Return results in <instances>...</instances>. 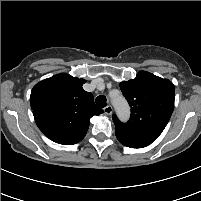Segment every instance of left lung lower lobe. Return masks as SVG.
<instances>
[{
	"mask_svg": "<svg viewBox=\"0 0 201 201\" xmlns=\"http://www.w3.org/2000/svg\"><path fill=\"white\" fill-rule=\"evenodd\" d=\"M116 137L120 143L123 145L130 147V148H143L151 144L153 141L140 139V138H133L126 135H123L119 132H116Z\"/></svg>",
	"mask_w": 201,
	"mask_h": 201,
	"instance_id": "left-lung-lower-lobe-1",
	"label": "left lung lower lobe"
}]
</instances>
